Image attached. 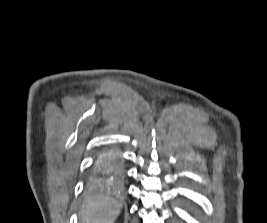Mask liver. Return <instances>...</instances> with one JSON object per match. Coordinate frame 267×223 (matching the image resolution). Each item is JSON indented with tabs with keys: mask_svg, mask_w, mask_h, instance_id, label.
I'll return each mask as SVG.
<instances>
[{
	"mask_svg": "<svg viewBox=\"0 0 267 223\" xmlns=\"http://www.w3.org/2000/svg\"><path fill=\"white\" fill-rule=\"evenodd\" d=\"M121 208V203L109 196H89L81 209L80 223H114Z\"/></svg>",
	"mask_w": 267,
	"mask_h": 223,
	"instance_id": "6515ba94",
	"label": "liver"
}]
</instances>
